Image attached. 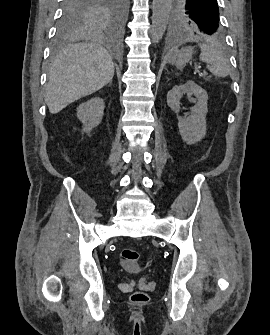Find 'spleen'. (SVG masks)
<instances>
[{
	"label": "spleen",
	"mask_w": 270,
	"mask_h": 335,
	"mask_svg": "<svg viewBox=\"0 0 270 335\" xmlns=\"http://www.w3.org/2000/svg\"><path fill=\"white\" fill-rule=\"evenodd\" d=\"M200 38L196 36H189L186 42H197ZM206 44H199L201 50L200 60L209 64L207 66L209 72L217 78H226L230 72V62L221 46L219 40L216 38H206ZM167 60L169 56H166Z\"/></svg>",
	"instance_id": "spleen-1"
}]
</instances>
